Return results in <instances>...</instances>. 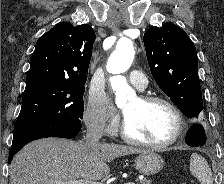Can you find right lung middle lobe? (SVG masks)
Listing matches in <instances>:
<instances>
[{
	"mask_svg": "<svg viewBox=\"0 0 224 184\" xmlns=\"http://www.w3.org/2000/svg\"><path fill=\"white\" fill-rule=\"evenodd\" d=\"M84 83L38 81L27 84L22 107L14 126L20 130L44 122L81 123Z\"/></svg>",
	"mask_w": 224,
	"mask_h": 184,
	"instance_id": "dd1d6c3e",
	"label": "right lung middle lobe"
}]
</instances>
